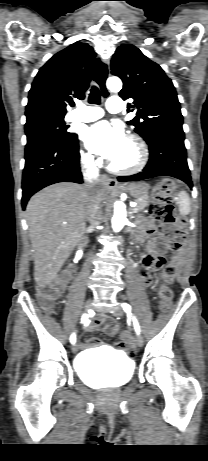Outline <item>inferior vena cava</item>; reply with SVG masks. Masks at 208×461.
I'll return each mask as SVG.
<instances>
[{
  "label": "inferior vena cava",
  "mask_w": 208,
  "mask_h": 461,
  "mask_svg": "<svg viewBox=\"0 0 208 461\" xmlns=\"http://www.w3.org/2000/svg\"><path fill=\"white\" fill-rule=\"evenodd\" d=\"M81 165L85 180V187L88 190V204H89V213L87 217V221L89 222L91 227H96L99 225L102 212L100 208V199L97 195L96 185L99 182V172L98 168L94 163V157L92 155H87L82 157Z\"/></svg>",
  "instance_id": "inferior-vena-cava-1"
}]
</instances>
